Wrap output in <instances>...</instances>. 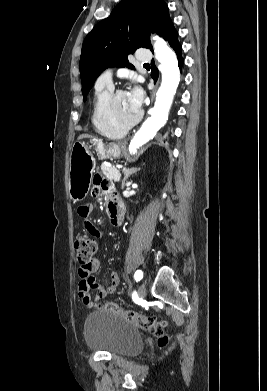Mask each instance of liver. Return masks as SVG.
Listing matches in <instances>:
<instances>
[{
  "mask_svg": "<svg viewBox=\"0 0 267 391\" xmlns=\"http://www.w3.org/2000/svg\"><path fill=\"white\" fill-rule=\"evenodd\" d=\"M84 138H92V136L89 135V134H82V135H80V136L78 137V140H81V139H84Z\"/></svg>",
  "mask_w": 267,
  "mask_h": 391,
  "instance_id": "obj_1",
  "label": "liver"
}]
</instances>
